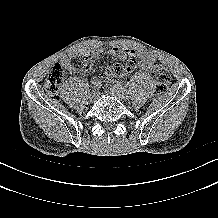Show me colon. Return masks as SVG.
<instances>
[{
	"instance_id": "obj_1",
	"label": "colon",
	"mask_w": 218,
	"mask_h": 218,
	"mask_svg": "<svg viewBox=\"0 0 218 218\" xmlns=\"http://www.w3.org/2000/svg\"><path fill=\"white\" fill-rule=\"evenodd\" d=\"M124 72L123 65L114 64L109 66L102 74L105 77H120ZM154 73L157 83V94L161 95L165 93L170 85L171 77L168 69L165 65L156 60L154 62ZM64 79V68L60 64L55 65L49 73L44 89L45 92L53 99L58 98L59 87Z\"/></svg>"
}]
</instances>
